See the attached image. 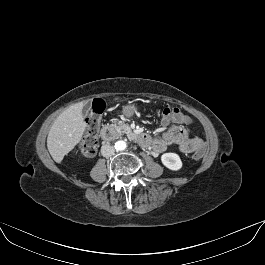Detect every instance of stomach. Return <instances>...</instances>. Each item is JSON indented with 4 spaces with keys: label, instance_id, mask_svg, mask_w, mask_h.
Here are the masks:
<instances>
[{
    "label": "stomach",
    "instance_id": "1",
    "mask_svg": "<svg viewBox=\"0 0 265 265\" xmlns=\"http://www.w3.org/2000/svg\"><path fill=\"white\" fill-rule=\"evenodd\" d=\"M137 111L136 106L134 105H126L123 106L122 112L126 117H131Z\"/></svg>",
    "mask_w": 265,
    "mask_h": 265
}]
</instances>
